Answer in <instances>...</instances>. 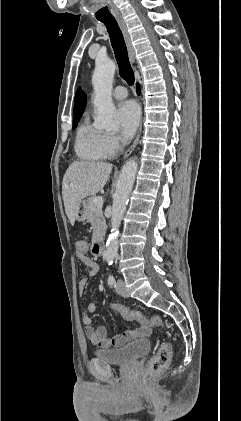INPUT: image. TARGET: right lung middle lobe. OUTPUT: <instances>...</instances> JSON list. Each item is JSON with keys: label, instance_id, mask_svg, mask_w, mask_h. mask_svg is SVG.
I'll use <instances>...</instances> for the list:
<instances>
[{"label": "right lung middle lobe", "instance_id": "right-lung-middle-lobe-1", "mask_svg": "<svg viewBox=\"0 0 241 421\" xmlns=\"http://www.w3.org/2000/svg\"><path fill=\"white\" fill-rule=\"evenodd\" d=\"M80 118H81V117H79V118H74V119H73V129H75V128H76V126H77V124H78V122H79Z\"/></svg>", "mask_w": 241, "mask_h": 421}]
</instances>
